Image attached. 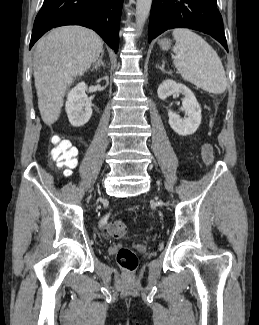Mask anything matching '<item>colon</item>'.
<instances>
[{
	"mask_svg": "<svg viewBox=\"0 0 259 325\" xmlns=\"http://www.w3.org/2000/svg\"><path fill=\"white\" fill-rule=\"evenodd\" d=\"M51 157L60 169H63L65 175H70L71 170L76 166L77 152L67 140L61 137L52 139ZM203 160L207 165L212 164L214 160V150L211 145H205L202 152ZM105 230L113 238H122L126 233V225L120 220L106 219L104 223ZM117 262L119 266L126 271H133L137 267L138 259L136 254L127 247H122L117 253Z\"/></svg>",
	"mask_w": 259,
	"mask_h": 325,
	"instance_id": "1",
	"label": "colon"
}]
</instances>
